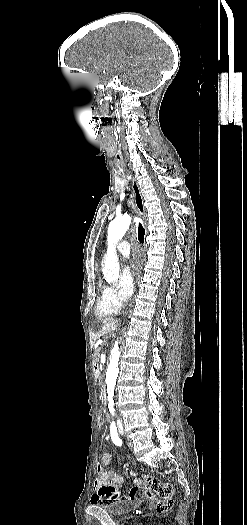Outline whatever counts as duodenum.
<instances>
[{
	"label": "duodenum",
	"mask_w": 247,
	"mask_h": 525,
	"mask_svg": "<svg viewBox=\"0 0 247 525\" xmlns=\"http://www.w3.org/2000/svg\"><path fill=\"white\" fill-rule=\"evenodd\" d=\"M93 372H94V375H95L96 377L99 376V374H100V367H99V364H98V363H94V364H93ZM101 396H102V399H103V400H106V399H107V392H106V390L103 389V388L101 389Z\"/></svg>",
	"instance_id": "obj_1"
}]
</instances>
